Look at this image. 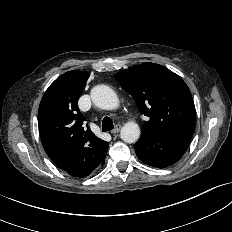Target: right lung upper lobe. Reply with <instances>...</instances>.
<instances>
[{
	"label": "right lung upper lobe",
	"instance_id": "1",
	"mask_svg": "<svg viewBox=\"0 0 232 232\" xmlns=\"http://www.w3.org/2000/svg\"><path fill=\"white\" fill-rule=\"evenodd\" d=\"M89 76L88 72L76 70L62 74L46 90L38 110L45 152L57 167L80 178L91 174L104 161L109 146L92 133L78 108Z\"/></svg>",
	"mask_w": 232,
	"mask_h": 232
}]
</instances>
